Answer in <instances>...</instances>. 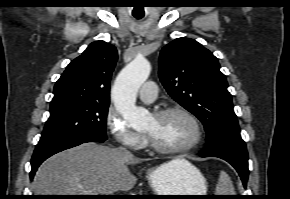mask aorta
Returning <instances> with one entry per match:
<instances>
[{"instance_id":"obj_1","label":"aorta","mask_w":290,"mask_h":199,"mask_svg":"<svg viewBox=\"0 0 290 199\" xmlns=\"http://www.w3.org/2000/svg\"><path fill=\"white\" fill-rule=\"evenodd\" d=\"M150 63L143 57L135 58L117 76L112 88V98L117 111L134 129L148 125L150 113L137 107L136 95L150 75Z\"/></svg>"}]
</instances>
